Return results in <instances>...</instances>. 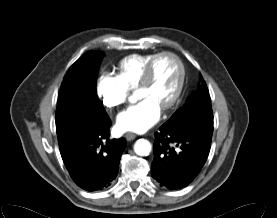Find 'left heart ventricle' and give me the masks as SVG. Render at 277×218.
I'll return each mask as SVG.
<instances>
[{
	"label": "left heart ventricle",
	"instance_id": "left-heart-ventricle-1",
	"mask_svg": "<svg viewBox=\"0 0 277 218\" xmlns=\"http://www.w3.org/2000/svg\"><path fill=\"white\" fill-rule=\"evenodd\" d=\"M179 80V68L170 57L159 59L154 67L151 83L138 88L139 98H150L160 107L174 92Z\"/></svg>",
	"mask_w": 277,
	"mask_h": 218
}]
</instances>
